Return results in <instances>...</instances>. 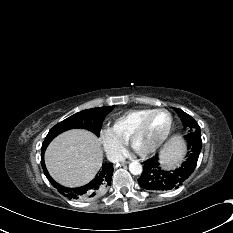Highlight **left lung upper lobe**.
Wrapping results in <instances>:
<instances>
[{"mask_svg":"<svg viewBox=\"0 0 233 233\" xmlns=\"http://www.w3.org/2000/svg\"><path fill=\"white\" fill-rule=\"evenodd\" d=\"M174 110L180 116L183 125L189 130V134L185 136L188 141V145L192 147L194 143L201 144V130L198 123L189 114L185 113L181 109L174 108Z\"/></svg>","mask_w":233,"mask_h":233,"instance_id":"left-lung-upper-lobe-1","label":"left lung upper lobe"}]
</instances>
